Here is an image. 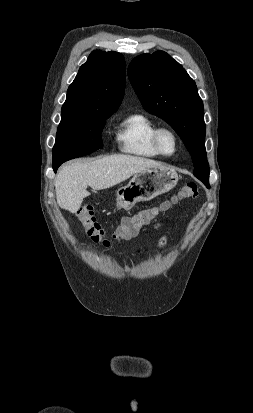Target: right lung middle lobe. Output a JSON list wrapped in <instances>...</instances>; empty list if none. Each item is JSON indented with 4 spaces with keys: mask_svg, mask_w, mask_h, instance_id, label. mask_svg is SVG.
<instances>
[{
    "mask_svg": "<svg viewBox=\"0 0 253 413\" xmlns=\"http://www.w3.org/2000/svg\"><path fill=\"white\" fill-rule=\"evenodd\" d=\"M113 112L88 118L62 119L53 147V165L103 148L101 132Z\"/></svg>",
    "mask_w": 253,
    "mask_h": 413,
    "instance_id": "1",
    "label": "right lung middle lobe"
}]
</instances>
